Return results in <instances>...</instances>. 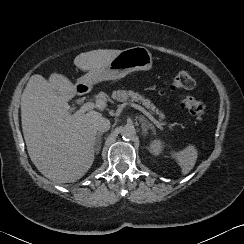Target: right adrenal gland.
I'll return each instance as SVG.
<instances>
[{
    "label": "right adrenal gland",
    "instance_id": "right-adrenal-gland-1",
    "mask_svg": "<svg viewBox=\"0 0 244 244\" xmlns=\"http://www.w3.org/2000/svg\"><path fill=\"white\" fill-rule=\"evenodd\" d=\"M103 132L98 133L95 141V153L98 154L101 151V141Z\"/></svg>",
    "mask_w": 244,
    "mask_h": 244
}]
</instances>
